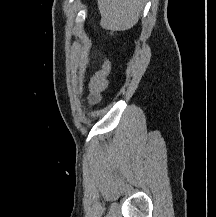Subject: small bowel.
Here are the masks:
<instances>
[{
    "mask_svg": "<svg viewBox=\"0 0 216 217\" xmlns=\"http://www.w3.org/2000/svg\"><path fill=\"white\" fill-rule=\"evenodd\" d=\"M110 62L105 59L100 70H98L88 83V100L91 104H96L101 99V94L108 85V74L110 72Z\"/></svg>",
    "mask_w": 216,
    "mask_h": 217,
    "instance_id": "c3829d8e",
    "label": "small bowel"
}]
</instances>
